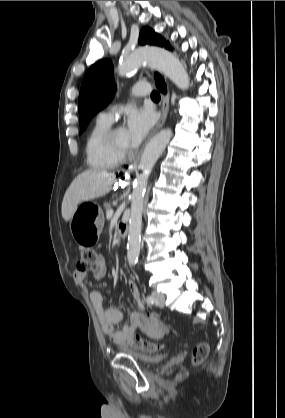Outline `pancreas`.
<instances>
[{
  "mask_svg": "<svg viewBox=\"0 0 285 418\" xmlns=\"http://www.w3.org/2000/svg\"><path fill=\"white\" fill-rule=\"evenodd\" d=\"M104 209H105V211H106V212H107V211H109V210L111 209V205H110V203L105 202V203H104Z\"/></svg>",
  "mask_w": 285,
  "mask_h": 418,
  "instance_id": "obj_1",
  "label": "pancreas"
}]
</instances>
